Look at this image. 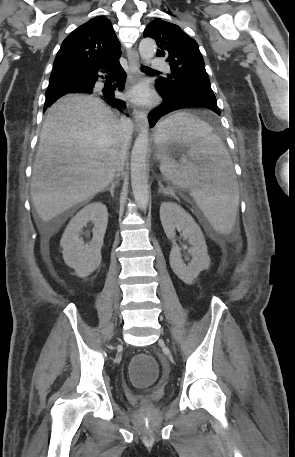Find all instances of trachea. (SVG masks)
Returning <instances> with one entry per match:
<instances>
[{
	"instance_id": "obj_1",
	"label": "trachea",
	"mask_w": 295,
	"mask_h": 457,
	"mask_svg": "<svg viewBox=\"0 0 295 457\" xmlns=\"http://www.w3.org/2000/svg\"><path fill=\"white\" fill-rule=\"evenodd\" d=\"M143 69H146V70H152L151 68H149V67H145V66H143Z\"/></svg>"
}]
</instances>
